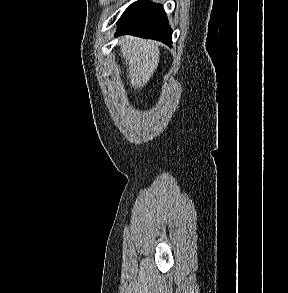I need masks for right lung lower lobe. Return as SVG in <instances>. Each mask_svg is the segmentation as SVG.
Listing matches in <instances>:
<instances>
[{"mask_svg": "<svg viewBox=\"0 0 288 293\" xmlns=\"http://www.w3.org/2000/svg\"><path fill=\"white\" fill-rule=\"evenodd\" d=\"M125 34L155 39L169 46L172 45V30L162 5L149 0L134 2L122 14L115 36Z\"/></svg>", "mask_w": 288, "mask_h": 293, "instance_id": "right-lung-lower-lobe-1", "label": "right lung lower lobe"}]
</instances>
